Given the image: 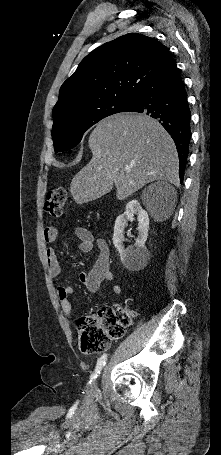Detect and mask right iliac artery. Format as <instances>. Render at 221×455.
I'll use <instances>...</instances> for the list:
<instances>
[{
	"label": "right iliac artery",
	"mask_w": 221,
	"mask_h": 455,
	"mask_svg": "<svg viewBox=\"0 0 221 455\" xmlns=\"http://www.w3.org/2000/svg\"><path fill=\"white\" fill-rule=\"evenodd\" d=\"M106 360H107V355L106 354H103L99 359H98V362H97V365H96V368H95V372L94 374L91 375V380H90V383L92 382V380H95L97 378V376L101 373L103 367L105 366L106 364Z\"/></svg>",
	"instance_id": "obj_1"
}]
</instances>
